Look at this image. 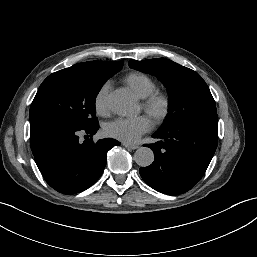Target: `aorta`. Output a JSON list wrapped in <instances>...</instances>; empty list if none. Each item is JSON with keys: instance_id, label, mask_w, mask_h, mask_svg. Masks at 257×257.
Wrapping results in <instances>:
<instances>
[{"instance_id": "aorta-1", "label": "aorta", "mask_w": 257, "mask_h": 257, "mask_svg": "<svg viewBox=\"0 0 257 257\" xmlns=\"http://www.w3.org/2000/svg\"><path fill=\"white\" fill-rule=\"evenodd\" d=\"M108 107L119 115H133L138 106L133 95L126 89H116L107 97ZM134 160L140 167L150 166L154 161V153L148 147H140L134 154Z\"/></svg>"}]
</instances>
